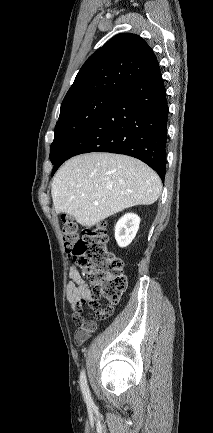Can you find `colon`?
Returning a JSON list of instances; mask_svg holds the SVG:
<instances>
[{"label":"colon","instance_id":"5ec220e1","mask_svg":"<svg viewBox=\"0 0 213 433\" xmlns=\"http://www.w3.org/2000/svg\"><path fill=\"white\" fill-rule=\"evenodd\" d=\"M61 234L68 257L82 268L90 284L93 300L88 306L97 319L109 317L126 289L127 280L123 261L109 249L105 225L100 223L85 229L79 236L74 221L65 216L62 217ZM100 297L108 301L106 306L98 303ZM73 321L78 329L87 323L80 311L73 316Z\"/></svg>","mask_w":213,"mask_h":433}]
</instances>
